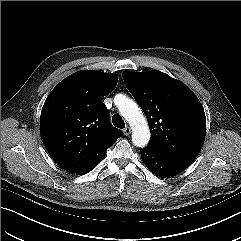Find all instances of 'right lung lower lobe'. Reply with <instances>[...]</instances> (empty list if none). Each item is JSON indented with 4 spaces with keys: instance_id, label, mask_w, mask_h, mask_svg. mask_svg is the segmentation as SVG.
Returning a JSON list of instances; mask_svg holds the SVG:
<instances>
[{
    "instance_id": "right-lung-lower-lobe-1",
    "label": "right lung lower lobe",
    "mask_w": 241,
    "mask_h": 241,
    "mask_svg": "<svg viewBox=\"0 0 241 241\" xmlns=\"http://www.w3.org/2000/svg\"><path fill=\"white\" fill-rule=\"evenodd\" d=\"M95 166H96V165H95ZM95 166H93V167H91V168H89V169L83 171L82 173H80V175H83V174L88 173V172L91 171Z\"/></svg>"
}]
</instances>
